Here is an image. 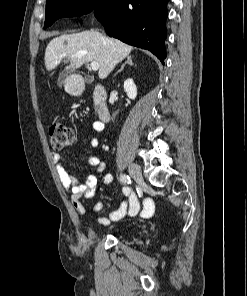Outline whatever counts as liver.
Instances as JSON below:
<instances>
[{"label": "liver", "mask_w": 247, "mask_h": 296, "mask_svg": "<svg viewBox=\"0 0 247 296\" xmlns=\"http://www.w3.org/2000/svg\"><path fill=\"white\" fill-rule=\"evenodd\" d=\"M131 51L132 46L90 30L52 39L46 47L44 61L48 71L55 69L65 57L71 61L67 68H78L88 62H97L98 76L105 79Z\"/></svg>", "instance_id": "6515ba94"}]
</instances>
